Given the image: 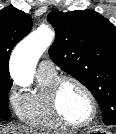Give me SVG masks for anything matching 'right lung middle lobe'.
I'll return each instance as SVG.
<instances>
[{
	"mask_svg": "<svg viewBox=\"0 0 116 134\" xmlns=\"http://www.w3.org/2000/svg\"><path fill=\"white\" fill-rule=\"evenodd\" d=\"M12 86V80L0 79V119H8L11 117L9 105L7 101L8 92Z\"/></svg>",
	"mask_w": 116,
	"mask_h": 134,
	"instance_id": "dd1d6c3e",
	"label": "right lung middle lobe"
}]
</instances>
